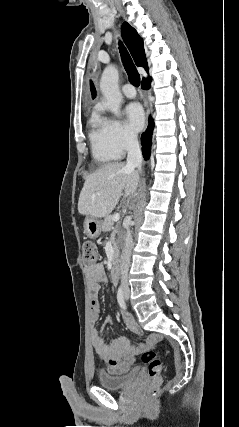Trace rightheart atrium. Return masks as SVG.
Returning <instances> with one entry per match:
<instances>
[{"mask_svg": "<svg viewBox=\"0 0 239 427\" xmlns=\"http://www.w3.org/2000/svg\"><path fill=\"white\" fill-rule=\"evenodd\" d=\"M103 126L110 146L119 157L136 147V136L120 120L106 118Z\"/></svg>", "mask_w": 239, "mask_h": 427, "instance_id": "d8ad5b80", "label": "right heart atrium"}]
</instances>
